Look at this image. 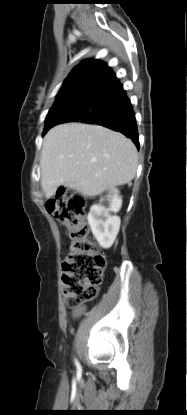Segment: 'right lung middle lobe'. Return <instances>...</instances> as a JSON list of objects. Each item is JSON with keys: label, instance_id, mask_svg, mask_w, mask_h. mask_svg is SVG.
<instances>
[{"label": "right lung middle lobe", "instance_id": "dd1d6c3e", "mask_svg": "<svg viewBox=\"0 0 187 415\" xmlns=\"http://www.w3.org/2000/svg\"><path fill=\"white\" fill-rule=\"evenodd\" d=\"M65 100H66V98H64V99H62L61 101H59V102H56V103H54V105L52 106V108L50 109V111H49V113H48V115H47V117H46V123H45V128H44V133H43V135H45V133H46V131H47V128H48V126H49V117H50V114L53 112V110L59 105V104H62L63 102H65Z\"/></svg>", "mask_w": 187, "mask_h": 415}]
</instances>
